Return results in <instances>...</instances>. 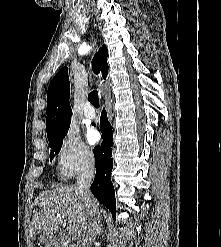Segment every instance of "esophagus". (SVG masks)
Wrapping results in <instances>:
<instances>
[{
	"label": "esophagus",
	"mask_w": 221,
	"mask_h": 247,
	"mask_svg": "<svg viewBox=\"0 0 221 247\" xmlns=\"http://www.w3.org/2000/svg\"><path fill=\"white\" fill-rule=\"evenodd\" d=\"M99 81L101 82V76L99 75Z\"/></svg>",
	"instance_id": "34e87169"
}]
</instances>
